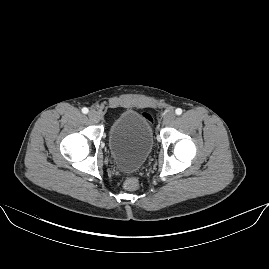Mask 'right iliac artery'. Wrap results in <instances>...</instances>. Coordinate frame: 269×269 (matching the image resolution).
<instances>
[{
    "label": "right iliac artery",
    "instance_id": "1",
    "mask_svg": "<svg viewBox=\"0 0 269 269\" xmlns=\"http://www.w3.org/2000/svg\"><path fill=\"white\" fill-rule=\"evenodd\" d=\"M88 108H86V107H84L83 109H82V112L84 113V114H87L88 113Z\"/></svg>",
    "mask_w": 269,
    "mask_h": 269
}]
</instances>
